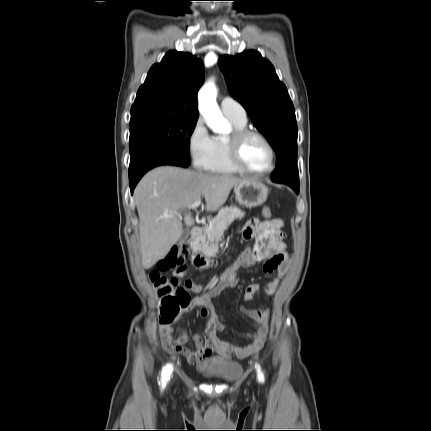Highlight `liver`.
Listing matches in <instances>:
<instances>
[{
    "instance_id": "1",
    "label": "liver",
    "mask_w": 431,
    "mask_h": 431,
    "mask_svg": "<svg viewBox=\"0 0 431 431\" xmlns=\"http://www.w3.org/2000/svg\"><path fill=\"white\" fill-rule=\"evenodd\" d=\"M245 178L232 175H212L163 166L149 171L138 183L134 199L139 215V234L142 266L146 269L163 259L182 234L179 215L201 196L205 210L217 211L227 200L230 191ZM187 227L194 225L190 213L185 214Z\"/></svg>"
}]
</instances>
